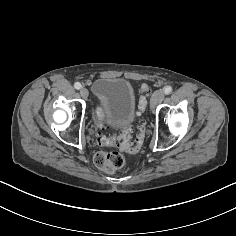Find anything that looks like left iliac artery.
<instances>
[{"instance_id": "left-iliac-artery-1", "label": "left iliac artery", "mask_w": 236, "mask_h": 236, "mask_svg": "<svg viewBox=\"0 0 236 236\" xmlns=\"http://www.w3.org/2000/svg\"><path fill=\"white\" fill-rule=\"evenodd\" d=\"M164 92L166 95L170 94L172 92V87L171 86H166L164 88Z\"/></svg>"}]
</instances>
